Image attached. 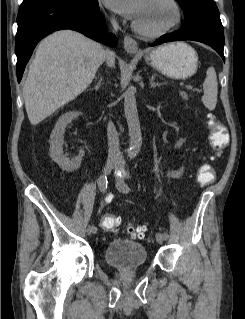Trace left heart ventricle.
I'll list each match as a JSON object with an SVG mask.
<instances>
[{
	"mask_svg": "<svg viewBox=\"0 0 245 319\" xmlns=\"http://www.w3.org/2000/svg\"><path fill=\"white\" fill-rule=\"evenodd\" d=\"M174 18V11L166 0H146L144 7L135 20L149 29L163 27Z\"/></svg>",
	"mask_w": 245,
	"mask_h": 319,
	"instance_id": "1",
	"label": "left heart ventricle"
}]
</instances>
